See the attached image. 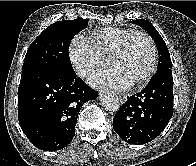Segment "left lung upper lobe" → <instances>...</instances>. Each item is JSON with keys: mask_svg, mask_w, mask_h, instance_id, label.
Segmentation results:
<instances>
[{"mask_svg": "<svg viewBox=\"0 0 196 166\" xmlns=\"http://www.w3.org/2000/svg\"><path fill=\"white\" fill-rule=\"evenodd\" d=\"M132 22L142 26L149 33V35L154 39L160 56L157 72L165 69H171L172 62L170 59L168 48L164 40L162 39L161 35L154 28V26L149 21L144 19H137V20H133Z\"/></svg>", "mask_w": 196, "mask_h": 166, "instance_id": "obj_1", "label": "left lung upper lobe"}]
</instances>
